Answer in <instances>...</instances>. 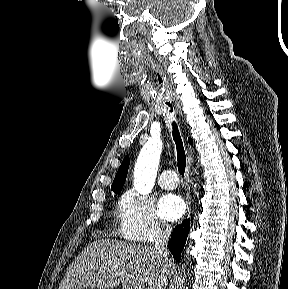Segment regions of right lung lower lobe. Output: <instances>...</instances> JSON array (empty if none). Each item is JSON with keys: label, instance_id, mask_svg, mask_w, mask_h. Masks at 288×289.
<instances>
[{"label": "right lung lower lobe", "instance_id": "1", "mask_svg": "<svg viewBox=\"0 0 288 289\" xmlns=\"http://www.w3.org/2000/svg\"><path fill=\"white\" fill-rule=\"evenodd\" d=\"M190 230V220L186 219L182 225H177L171 235L169 241V250L173 254L176 261H180L181 252L185 246L187 236Z\"/></svg>", "mask_w": 288, "mask_h": 289}]
</instances>
